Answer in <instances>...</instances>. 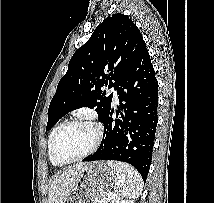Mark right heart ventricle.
<instances>
[{"label": "right heart ventricle", "mask_w": 214, "mask_h": 203, "mask_svg": "<svg viewBox=\"0 0 214 203\" xmlns=\"http://www.w3.org/2000/svg\"><path fill=\"white\" fill-rule=\"evenodd\" d=\"M64 124V122H59L57 125L54 126V128L52 129L49 138H48V156L50 161L52 162L53 165L55 166H60V164H58L52 157V153H51V148H52V143H53V139L54 136L56 134V132L58 131V129Z\"/></svg>", "instance_id": "obj_1"}]
</instances>
